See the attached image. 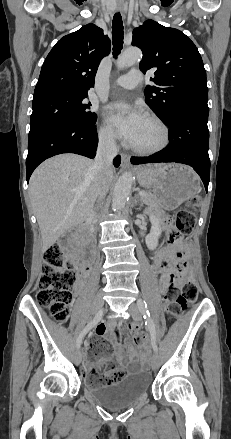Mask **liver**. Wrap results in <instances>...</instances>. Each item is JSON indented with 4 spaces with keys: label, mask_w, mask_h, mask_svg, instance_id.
<instances>
[{
    "label": "liver",
    "mask_w": 231,
    "mask_h": 439,
    "mask_svg": "<svg viewBox=\"0 0 231 439\" xmlns=\"http://www.w3.org/2000/svg\"><path fill=\"white\" fill-rule=\"evenodd\" d=\"M93 164V160L80 155L61 154L44 161L33 172L29 196L40 228L43 252L90 216L99 189ZM112 179L113 171L109 184Z\"/></svg>",
    "instance_id": "obj_1"
}]
</instances>
